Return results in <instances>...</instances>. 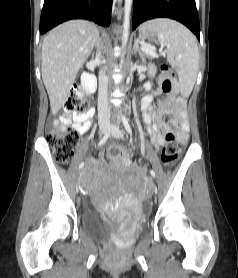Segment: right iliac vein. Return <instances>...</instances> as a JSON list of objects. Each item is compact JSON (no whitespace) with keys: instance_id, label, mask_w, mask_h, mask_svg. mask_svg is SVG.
<instances>
[{"instance_id":"right-iliac-vein-1","label":"right iliac vein","mask_w":238,"mask_h":278,"mask_svg":"<svg viewBox=\"0 0 238 278\" xmlns=\"http://www.w3.org/2000/svg\"><path fill=\"white\" fill-rule=\"evenodd\" d=\"M108 131V127L106 125H103L100 127L101 134H106ZM76 192L75 195H79V186H75Z\"/></svg>"}]
</instances>
